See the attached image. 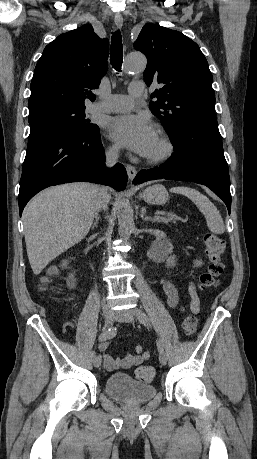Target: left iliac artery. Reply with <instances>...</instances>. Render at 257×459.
<instances>
[{"instance_id":"obj_1","label":"left iliac artery","mask_w":257,"mask_h":459,"mask_svg":"<svg viewBox=\"0 0 257 459\" xmlns=\"http://www.w3.org/2000/svg\"><path fill=\"white\" fill-rule=\"evenodd\" d=\"M137 315H138L139 321H140L144 326H147V327L150 326L149 318L147 317V315H146L142 310L138 309V310H137ZM157 348H158V351H159V352L163 351V344L161 343L160 340H157Z\"/></svg>"}]
</instances>
